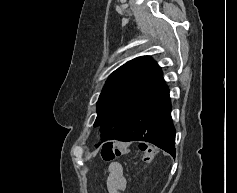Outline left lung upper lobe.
<instances>
[{"mask_svg":"<svg viewBox=\"0 0 237 193\" xmlns=\"http://www.w3.org/2000/svg\"><path fill=\"white\" fill-rule=\"evenodd\" d=\"M161 77V68L149 56L137 57L109 76L97 102L94 123L101 126L102 141L120 135L141 98Z\"/></svg>","mask_w":237,"mask_h":193,"instance_id":"obj_1","label":"left lung upper lobe"}]
</instances>
